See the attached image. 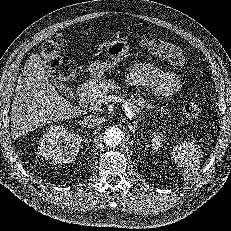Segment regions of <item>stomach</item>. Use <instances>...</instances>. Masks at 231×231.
<instances>
[{
  "instance_id": "0dacf381",
  "label": "stomach",
  "mask_w": 231,
  "mask_h": 231,
  "mask_svg": "<svg viewBox=\"0 0 231 231\" xmlns=\"http://www.w3.org/2000/svg\"><path fill=\"white\" fill-rule=\"evenodd\" d=\"M108 61L95 60L89 67L93 80H100L107 71H112L125 57L129 50V44L124 39H115L105 47Z\"/></svg>"
}]
</instances>
